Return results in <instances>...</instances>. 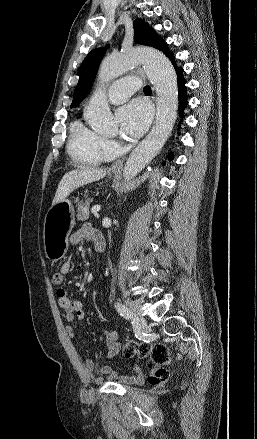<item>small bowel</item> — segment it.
<instances>
[{"label": "small bowel", "instance_id": "obj_1", "mask_svg": "<svg viewBox=\"0 0 257 439\" xmlns=\"http://www.w3.org/2000/svg\"><path fill=\"white\" fill-rule=\"evenodd\" d=\"M99 237H102L93 227L90 225H83L76 232L70 236V242L73 245H77L80 242L86 240L93 245ZM72 266L70 262H64L60 267V274L62 276L71 272ZM57 297L59 306L65 311V317L68 321H80L85 317V311L83 303L80 300H71L67 291L64 288L57 290ZM68 336L75 337V331L72 327L67 328ZM102 333L106 339V349L108 358L116 356L121 349L120 334L116 331L102 330ZM133 374L123 375L116 372L110 366H104L100 369V372L109 381H113L120 384H140L144 381V375L140 367L134 363ZM84 370L87 374L92 373L94 370V363L90 358H85L83 363Z\"/></svg>", "mask_w": 257, "mask_h": 439}]
</instances>
